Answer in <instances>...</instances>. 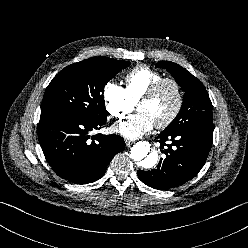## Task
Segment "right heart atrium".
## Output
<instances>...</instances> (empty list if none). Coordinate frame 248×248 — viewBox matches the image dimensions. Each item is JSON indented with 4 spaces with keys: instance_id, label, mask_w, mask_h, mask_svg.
<instances>
[{
    "instance_id": "d8ad5b80",
    "label": "right heart atrium",
    "mask_w": 248,
    "mask_h": 248,
    "mask_svg": "<svg viewBox=\"0 0 248 248\" xmlns=\"http://www.w3.org/2000/svg\"><path fill=\"white\" fill-rule=\"evenodd\" d=\"M103 98L108 113L118 120L123 119L134 108V103L124 88L112 82L104 87Z\"/></svg>"
}]
</instances>
